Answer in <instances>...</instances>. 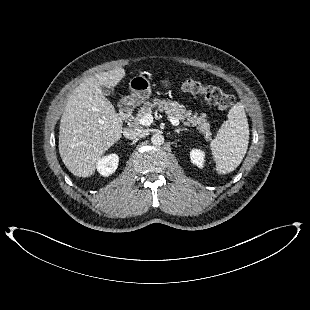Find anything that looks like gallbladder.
Returning <instances> with one entry per match:
<instances>
[{
  "mask_svg": "<svg viewBox=\"0 0 310 310\" xmlns=\"http://www.w3.org/2000/svg\"><path fill=\"white\" fill-rule=\"evenodd\" d=\"M100 89L104 96H109L112 93V89L109 86L103 85L100 87Z\"/></svg>",
  "mask_w": 310,
  "mask_h": 310,
  "instance_id": "1",
  "label": "gallbladder"
}]
</instances>
